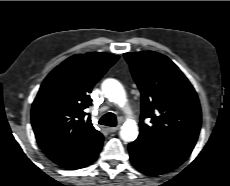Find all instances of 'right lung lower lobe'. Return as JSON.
<instances>
[{
	"mask_svg": "<svg viewBox=\"0 0 230 186\" xmlns=\"http://www.w3.org/2000/svg\"><path fill=\"white\" fill-rule=\"evenodd\" d=\"M101 147H102V145L97 150H95L86 160H84L80 165H78L74 169L82 168V167H85V166L89 165L90 163H92L97 158V156L101 150Z\"/></svg>",
	"mask_w": 230,
	"mask_h": 186,
	"instance_id": "right-lung-lower-lobe-1",
	"label": "right lung lower lobe"
}]
</instances>
